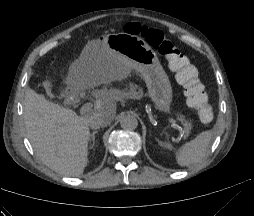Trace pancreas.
Returning a JSON list of instances; mask_svg holds the SVG:
<instances>
[{
    "mask_svg": "<svg viewBox=\"0 0 254 216\" xmlns=\"http://www.w3.org/2000/svg\"><path fill=\"white\" fill-rule=\"evenodd\" d=\"M178 119L183 123V126H184L183 132L185 134V137L188 136L190 133V129L192 128V124L188 121H185L183 116H180Z\"/></svg>",
    "mask_w": 254,
    "mask_h": 216,
    "instance_id": "1",
    "label": "pancreas"
}]
</instances>
